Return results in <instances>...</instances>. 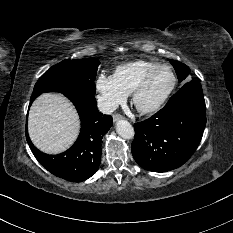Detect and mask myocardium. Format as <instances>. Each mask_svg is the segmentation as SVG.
<instances>
[{
    "label": "myocardium",
    "instance_id": "myocardium-1",
    "mask_svg": "<svg viewBox=\"0 0 233 233\" xmlns=\"http://www.w3.org/2000/svg\"><path fill=\"white\" fill-rule=\"evenodd\" d=\"M162 69H167L171 73L172 81H171L170 86L168 87L166 92L162 95V97L155 104H153L152 106H149V107H141L138 103L139 96L146 89V87L148 86V84L151 81V79L153 78V76L158 71H160ZM176 82H177L176 75L170 66H168V65L157 66L156 68H154L153 70L148 72L144 76V78L139 82V84L135 87V89L133 90V92H132L133 105L142 114L148 115V114H154V113L158 112L160 109H162V107L165 105V103L167 102V100L171 96L172 92L175 89Z\"/></svg>",
    "mask_w": 233,
    "mask_h": 233
}]
</instances>
